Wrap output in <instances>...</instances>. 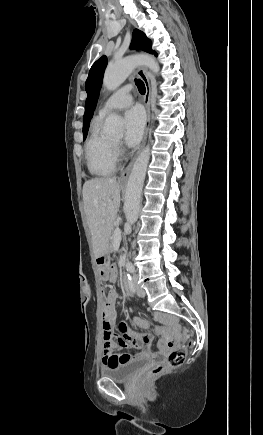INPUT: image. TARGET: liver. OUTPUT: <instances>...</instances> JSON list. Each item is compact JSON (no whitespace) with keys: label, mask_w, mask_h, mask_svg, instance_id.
Instances as JSON below:
<instances>
[{"label":"liver","mask_w":263,"mask_h":435,"mask_svg":"<svg viewBox=\"0 0 263 435\" xmlns=\"http://www.w3.org/2000/svg\"><path fill=\"white\" fill-rule=\"evenodd\" d=\"M82 194L93 252L98 257L108 248L120 207V183L116 178H94L84 183Z\"/></svg>","instance_id":"liver-1"}]
</instances>
